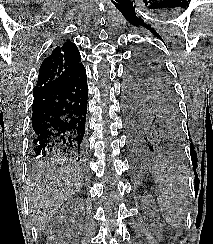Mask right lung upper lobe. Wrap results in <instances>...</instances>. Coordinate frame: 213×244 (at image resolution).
<instances>
[{
  "mask_svg": "<svg viewBox=\"0 0 213 244\" xmlns=\"http://www.w3.org/2000/svg\"><path fill=\"white\" fill-rule=\"evenodd\" d=\"M80 61L81 56L74 43L69 40L58 43L51 55L42 62L33 91L40 87L55 88L67 83L84 68Z\"/></svg>",
  "mask_w": 213,
  "mask_h": 244,
  "instance_id": "cb5924a9",
  "label": "right lung upper lobe"
}]
</instances>
